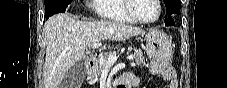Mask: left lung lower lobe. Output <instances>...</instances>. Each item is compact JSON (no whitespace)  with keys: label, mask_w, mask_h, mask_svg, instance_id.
Returning a JSON list of instances; mask_svg holds the SVG:
<instances>
[{"label":"left lung lower lobe","mask_w":227,"mask_h":88,"mask_svg":"<svg viewBox=\"0 0 227 88\" xmlns=\"http://www.w3.org/2000/svg\"><path fill=\"white\" fill-rule=\"evenodd\" d=\"M165 25L166 26H172V25H174V20L172 19V18H167V19H165Z\"/></svg>","instance_id":"obj_1"}]
</instances>
